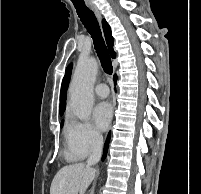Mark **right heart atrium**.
Returning a JSON list of instances; mask_svg holds the SVG:
<instances>
[{"instance_id": "obj_1", "label": "right heart atrium", "mask_w": 201, "mask_h": 194, "mask_svg": "<svg viewBox=\"0 0 201 194\" xmlns=\"http://www.w3.org/2000/svg\"><path fill=\"white\" fill-rule=\"evenodd\" d=\"M67 152L84 158L97 151L103 143L101 133L88 121L71 120L66 128Z\"/></svg>"}]
</instances>
